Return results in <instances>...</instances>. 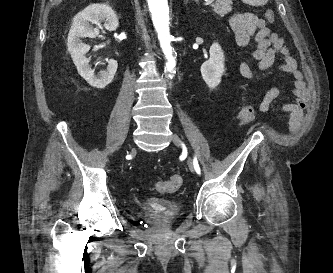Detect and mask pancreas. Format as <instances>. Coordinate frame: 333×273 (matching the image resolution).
<instances>
[{
    "label": "pancreas",
    "mask_w": 333,
    "mask_h": 273,
    "mask_svg": "<svg viewBox=\"0 0 333 273\" xmlns=\"http://www.w3.org/2000/svg\"><path fill=\"white\" fill-rule=\"evenodd\" d=\"M232 0H216V3L211 5L214 12L223 17L232 10Z\"/></svg>",
    "instance_id": "pancreas-1"
}]
</instances>
